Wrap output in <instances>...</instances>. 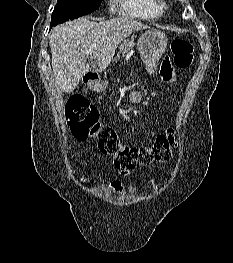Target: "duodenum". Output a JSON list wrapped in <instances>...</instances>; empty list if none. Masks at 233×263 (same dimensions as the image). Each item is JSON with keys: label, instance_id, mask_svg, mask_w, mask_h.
<instances>
[{"label": "duodenum", "instance_id": "410a0bca", "mask_svg": "<svg viewBox=\"0 0 233 263\" xmlns=\"http://www.w3.org/2000/svg\"><path fill=\"white\" fill-rule=\"evenodd\" d=\"M97 79H98V75L94 72H88L85 75V80L88 82H95V81H97Z\"/></svg>", "mask_w": 233, "mask_h": 263}]
</instances>
